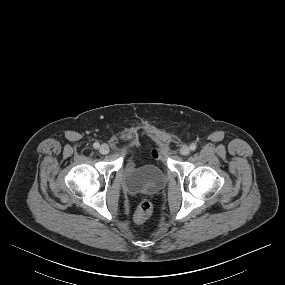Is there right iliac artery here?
Returning <instances> with one entry per match:
<instances>
[{"label":"right iliac artery","mask_w":285,"mask_h":285,"mask_svg":"<svg viewBox=\"0 0 285 285\" xmlns=\"http://www.w3.org/2000/svg\"><path fill=\"white\" fill-rule=\"evenodd\" d=\"M93 147H94L95 149H98V148H99V143H98V142H95V143L93 144Z\"/></svg>","instance_id":"obj_1"}]
</instances>
